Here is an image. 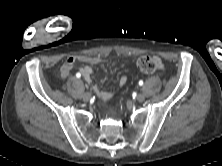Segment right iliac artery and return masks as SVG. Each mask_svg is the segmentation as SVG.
<instances>
[{
	"label": "right iliac artery",
	"mask_w": 222,
	"mask_h": 166,
	"mask_svg": "<svg viewBox=\"0 0 222 166\" xmlns=\"http://www.w3.org/2000/svg\"><path fill=\"white\" fill-rule=\"evenodd\" d=\"M76 77H77V78H80V77H81V74H80V73H77V74H76Z\"/></svg>",
	"instance_id": "obj_1"
}]
</instances>
